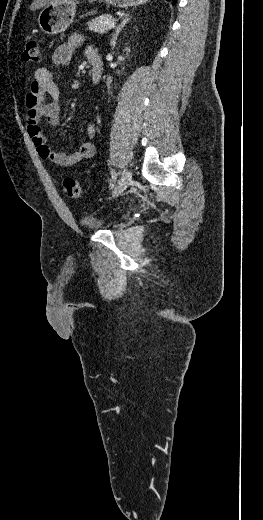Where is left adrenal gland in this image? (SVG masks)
Returning <instances> with one entry per match:
<instances>
[{
    "label": "left adrenal gland",
    "mask_w": 263,
    "mask_h": 520,
    "mask_svg": "<svg viewBox=\"0 0 263 520\" xmlns=\"http://www.w3.org/2000/svg\"><path fill=\"white\" fill-rule=\"evenodd\" d=\"M131 18L132 17L129 15V13H126L124 15V17L122 18L121 23L116 27V30L112 34V38H111V42H110L112 48H114L116 45V40H117L119 33L122 31V29L125 27V25L131 20Z\"/></svg>",
    "instance_id": "obj_1"
}]
</instances>
